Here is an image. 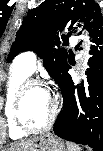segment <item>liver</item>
<instances>
[{
	"label": "liver",
	"instance_id": "6515ba94",
	"mask_svg": "<svg viewBox=\"0 0 103 151\" xmlns=\"http://www.w3.org/2000/svg\"><path fill=\"white\" fill-rule=\"evenodd\" d=\"M37 139L38 137L14 143L7 151H28Z\"/></svg>",
	"mask_w": 103,
	"mask_h": 151
}]
</instances>
